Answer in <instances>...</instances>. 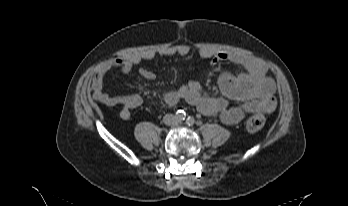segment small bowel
<instances>
[{"label":"small bowel","mask_w":348,"mask_h":206,"mask_svg":"<svg viewBox=\"0 0 348 206\" xmlns=\"http://www.w3.org/2000/svg\"><path fill=\"white\" fill-rule=\"evenodd\" d=\"M190 52L187 45H180L164 49L160 52L144 51L133 53L126 57L117 58L112 62L104 64L93 79V96L106 106H121L120 117L128 120L131 111L143 103L139 94H123L113 96L105 88V75L111 69H119L129 72L137 65L153 60L157 55L161 56H186ZM199 55L216 65L220 61L230 60L241 65L245 71L239 73L226 72L219 79V87L222 96H208L202 93V87L197 81H190L177 90L168 91L165 100L174 105L181 99L193 105L202 114L217 117L227 125H235L245 117L255 113H270L277 107L275 98V82L266 74V67L245 55L228 54L221 51H212L202 48ZM139 72L147 80H154L155 74L146 68H140ZM238 101L237 106H230L229 101Z\"/></svg>","instance_id":"1"}]
</instances>
